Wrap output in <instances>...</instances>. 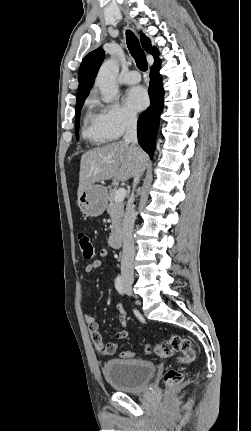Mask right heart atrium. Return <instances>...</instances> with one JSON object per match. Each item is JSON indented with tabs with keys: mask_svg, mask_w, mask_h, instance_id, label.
Masks as SVG:
<instances>
[{
	"mask_svg": "<svg viewBox=\"0 0 251 431\" xmlns=\"http://www.w3.org/2000/svg\"><path fill=\"white\" fill-rule=\"evenodd\" d=\"M92 104L97 108L96 119L99 128L110 139L119 138L136 126V114L119 103L103 104L93 100Z\"/></svg>",
	"mask_w": 251,
	"mask_h": 431,
	"instance_id": "d8ad5b80",
	"label": "right heart atrium"
}]
</instances>
